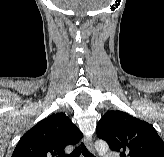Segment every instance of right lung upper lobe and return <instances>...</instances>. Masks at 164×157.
Wrapping results in <instances>:
<instances>
[{
  "label": "right lung upper lobe",
  "instance_id": "1",
  "mask_svg": "<svg viewBox=\"0 0 164 157\" xmlns=\"http://www.w3.org/2000/svg\"><path fill=\"white\" fill-rule=\"evenodd\" d=\"M82 137L64 113L52 114L22 136L11 157H66L65 147L75 145Z\"/></svg>",
  "mask_w": 164,
  "mask_h": 157
}]
</instances>
